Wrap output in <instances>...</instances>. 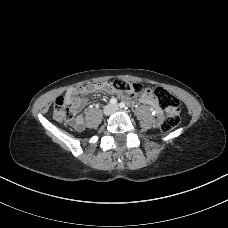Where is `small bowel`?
<instances>
[{
	"instance_id": "1",
	"label": "small bowel",
	"mask_w": 228,
	"mask_h": 228,
	"mask_svg": "<svg viewBox=\"0 0 228 228\" xmlns=\"http://www.w3.org/2000/svg\"><path fill=\"white\" fill-rule=\"evenodd\" d=\"M94 92H106V93H114L115 90L105 83H97V86L95 87L94 84H90L87 86H75L67 89V91L64 94V99L67 103H69L75 113L79 112L83 106V100L81 99L82 95L90 94ZM139 102L143 104L149 105L156 114V119L159 120L162 115V110L156 101V99L150 94L146 93L139 97ZM82 119L81 117H76V119L73 121L72 125L79 129L82 127Z\"/></svg>"
}]
</instances>
